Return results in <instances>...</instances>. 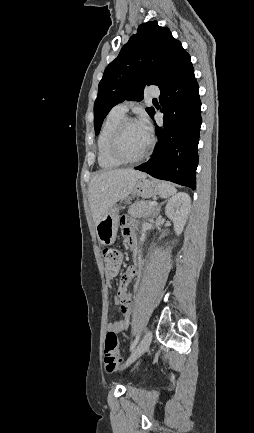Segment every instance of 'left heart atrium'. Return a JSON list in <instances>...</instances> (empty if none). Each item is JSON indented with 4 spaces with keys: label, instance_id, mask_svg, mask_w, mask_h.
<instances>
[{
    "label": "left heart atrium",
    "instance_id": "1",
    "mask_svg": "<svg viewBox=\"0 0 254 433\" xmlns=\"http://www.w3.org/2000/svg\"><path fill=\"white\" fill-rule=\"evenodd\" d=\"M137 123H138L139 127L141 128V130L145 134L149 135V133H150V124H149V121H148L147 117L145 115H142L140 117V119L137 121Z\"/></svg>",
    "mask_w": 254,
    "mask_h": 433
}]
</instances>
